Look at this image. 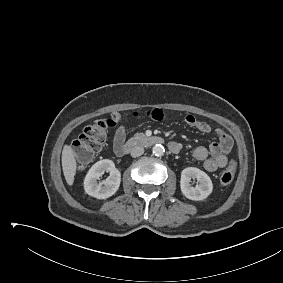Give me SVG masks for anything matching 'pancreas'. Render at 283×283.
<instances>
[{
    "instance_id": "cf45deb5",
    "label": "pancreas",
    "mask_w": 283,
    "mask_h": 283,
    "mask_svg": "<svg viewBox=\"0 0 283 283\" xmlns=\"http://www.w3.org/2000/svg\"><path fill=\"white\" fill-rule=\"evenodd\" d=\"M144 138H145L144 133H136L135 134V139H137V140H142Z\"/></svg>"
}]
</instances>
